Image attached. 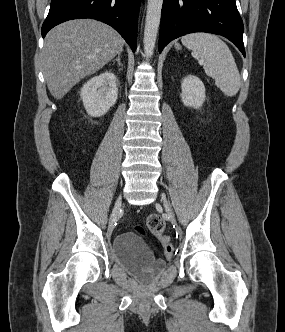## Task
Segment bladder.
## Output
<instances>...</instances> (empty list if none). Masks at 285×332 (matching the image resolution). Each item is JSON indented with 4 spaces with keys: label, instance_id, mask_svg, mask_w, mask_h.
<instances>
[{
    "label": "bladder",
    "instance_id": "31cf9c89",
    "mask_svg": "<svg viewBox=\"0 0 285 332\" xmlns=\"http://www.w3.org/2000/svg\"><path fill=\"white\" fill-rule=\"evenodd\" d=\"M111 252L118 265L144 281L154 278L166 267V263L157 259L145 243L131 232L115 236Z\"/></svg>",
    "mask_w": 285,
    "mask_h": 332
}]
</instances>
